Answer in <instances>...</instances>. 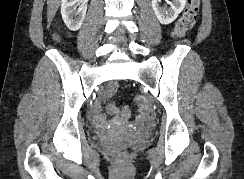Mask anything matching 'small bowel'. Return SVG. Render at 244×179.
<instances>
[{"mask_svg":"<svg viewBox=\"0 0 244 179\" xmlns=\"http://www.w3.org/2000/svg\"><path fill=\"white\" fill-rule=\"evenodd\" d=\"M112 110H118V109L114 107ZM149 115H153V110H144L141 112V114L139 116L140 126H147V124H149L150 121H152V116H149Z\"/></svg>","mask_w":244,"mask_h":179,"instance_id":"obj_1","label":"small bowel"}]
</instances>
